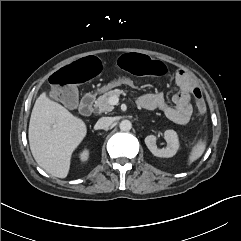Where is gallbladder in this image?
Segmentation results:
<instances>
[{"label": "gallbladder", "mask_w": 241, "mask_h": 241, "mask_svg": "<svg viewBox=\"0 0 241 241\" xmlns=\"http://www.w3.org/2000/svg\"><path fill=\"white\" fill-rule=\"evenodd\" d=\"M68 99L70 103L66 104L67 107L74 109L78 105V90L75 87H71L68 93Z\"/></svg>", "instance_id": "obj_1"}]
</instances>
